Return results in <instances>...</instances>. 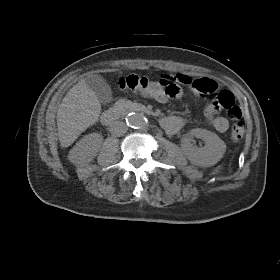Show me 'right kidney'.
Listing matches in <instances>:
<instances>
[{
	"label": "right kidney",
	"instance_id": "obj_1",
	"mask_svg": "<svg viewBox=\"0 0 280 280\" xmlns=\"http://www.w3.org/2000/svg\"><path fill=\"white\" fill-rule=\"evenodd\" d=\"M102 136L97 133L86 135L82 138L73 150L85 161H91L99 151L102 143Z\"/></svg>",
	"mask_w": 280,
	"mask_h": 280
}]
</instances>
